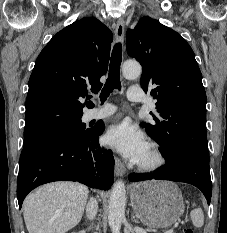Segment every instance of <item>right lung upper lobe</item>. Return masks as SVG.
I'll list each match as a JSON object with an SVG mask.
<instances>
[{
	"label": "right lung upper lobe",
	"mask_w": 227,
	"mask_h": 233,
	"mask_svg": "<svg viewBox=\"0 0 227 233\" xmlns=\"http://www.w3.org/2000/svg\"><path fill=\"white\" fill-rule=\"evenodd\" d=\"M112 41L110 29L94 17L75 21L52 37L29 79L24 135L82 117L85 104L80 101L102 87Z\"/></svg>",
	"instance_id": "right-lung-upper-lobe-1"
}]
</instances>
